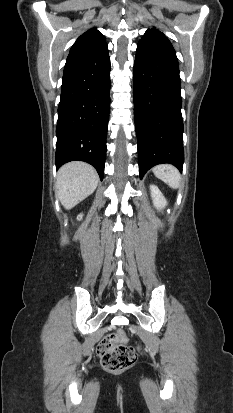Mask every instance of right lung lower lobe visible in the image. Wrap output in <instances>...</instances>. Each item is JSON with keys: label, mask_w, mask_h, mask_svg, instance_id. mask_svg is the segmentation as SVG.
Returning a JSON list of instances; mask_svg holds the SVG:
<instances>
[{"label": "right lung lower lobe", "mask_w": 233, "mask_h": 413, "mask_svg": "<svg viewBox=\"0 0 233 413\" xmlns=\"http://www.w3.org/2000/svg\"><path fill=\"white\" fill-rule=\"evenodd\" d=\"M110 109L107 44L68 55L56 128V167L73 160L93 165L104 176Z\"/></svg>", "instance_id": "obj_1"}]
</instances>
